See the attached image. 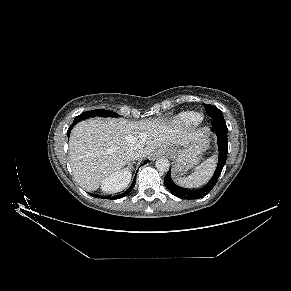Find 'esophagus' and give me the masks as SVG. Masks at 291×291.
<instances>
[{"label": "esophagus", "mask_w": 291, "mask_h": 291, "mask_svg": "<svg viewBox=\"0 0 291 291\" xmlns=\"http://www.w3.org/2000/svg\"><path fill=\"white\" fill-rule=\"evenodd\" d=\"M165 152H166L165 149H163V148H162V149H159L158 151H156L155 156L158 157V156H160V155L165 154Z\"/></svg>", "instance_id": "34e87169"}]
</instances>
